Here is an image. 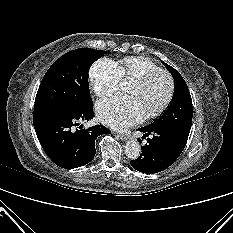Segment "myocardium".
<instances>
[{"mask_svg": "<svg viewBox=\"0 0 233 233\" xmlns=\"http://www.w3.org/2000/svg\"><path fill=\"white\" fill-rule=\"evenodd\" d=\"M157 74H162L166 77V79L168 81V93H167L165 100L162 102V104L160 106H158L156 109L151 110V111L146 113L147 117H150V118L160 115L162 112H164L168 108V106L172 102L173 97H174V92H175L174 79L168 71H166L162 68L149 70V71L143 73L142 75L133 79V82H135L139 85H143V84L147 83L152 77H154Z\"/></svg>", "mask_w": 233, "mask_h": 233, "instance_id": "1", "label": "myocardium"}]
</instances>
